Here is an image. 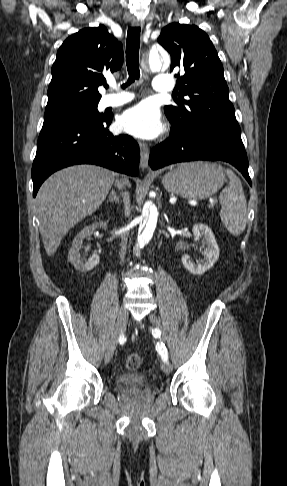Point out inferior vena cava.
Here are the masks:
<instances>
[{
    "instance_id": "1",
    "label": "inferior vena cava",
    "mask_w": 287,
    "mask_h": 486,
    "mask_svg": "<svg viewBox=\"0 0 287 486\" xmlns=\"http://www.w3.org/2000/svg\"><path fill=\"white\" fill-rule=\"evenodd\" d=\"M116 186L119 189H121L124 186V184L121 181H116ZM122 198H123V203H124V206H125V215L126 216H129V214H130V199H129L128 192L122 193ZM127 237H128V233H124V234L121 235V254H120V258H121V261L122 262L124 261V254H125V250H126Z\"/></svg>"
}]
</instances>
